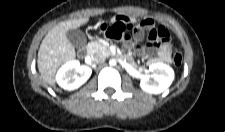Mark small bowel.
Here are the masks:
<instances>
[{
	"label": "small bowel",
	"mask_w": 225,
	"mask_h": 132,
	"mask_svg": "<svg viewBox=\"0 0 225 132\" xmlns=\"http://www.w3.org/2000/svg\"><path fill=\"white\" fill-rule=\"evenodd\" d=\"M114 24H117L122 28H128L135 31L134 38L136 39H140L142 37L141 29H146L149 32L157 30L154 27L153 21L150 19H144L142 21L137 22L130 17L122 16ZM158 39L160 38L151 40L150 43L146 46L143 45L135 46L132 42H128L125 47L130 61L133 62L130 54L135 49L138 54L147 57L148 62L150 64H155L158 62H166V63L171 62L172 59L169 43L161 39L160 41H158Z\"/></svg>",
	"instance_id": "obj_1"
}]
</instances>
